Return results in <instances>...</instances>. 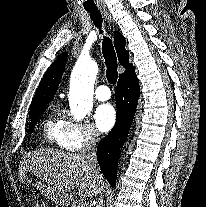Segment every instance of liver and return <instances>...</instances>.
I'll return each instance as SVG.
<instances>
[{
  "instance_id": "obj_1",
  "label": "liver",
  "mask_w": 206,
  "mask_h": 207,
  "mask_svg": "<svg viewBox=\"0 0 206 207\" xmlns=\"http://www.w3.org/2000/svg\"><path fill=\"white\" fill-rule=\"evenodd\" d=\"M27 172H32L48 187V197L56 207H64L72 200L71 191L78 187V196L89 198L99 194L98 186L88 163L80 154L54 150H38L24 156L19 169V178L23 180ZM100 188L105 182L101 175Z\"/></svg>"
}]
</instances>
